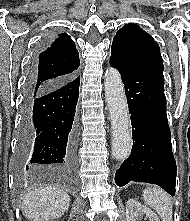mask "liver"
<instances>
[{
  "label": "liver",
  "mask_w": 190,
  "mask_h": 221,
  "mask_svg": "<svg viewBox=\"0 0 190 221\" xmlns=\"http://www.w3.org/2000/svg\"><path fill=\"white\" fill-rule=\"evenodd\" d=\"M69 195L59 187L30 189L24 194L22 211L30 221H49L67 212Z\"/></svg>",
  "instance_id": "liver-1"
}]
</instances>
